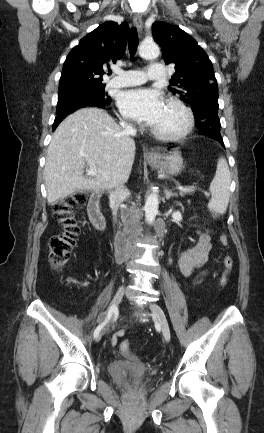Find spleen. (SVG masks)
I'll use <instances>...</instances> for the list:
<instances>
[{
    "mask_svg": "<svg viewBox=\"0 0 264 433\" xmlns=\"http://www.w3.org/2000/svg\"><path fill=\"white\" fill-rule=\"evenodd\" d=\"M231 175L227 161L224 157L218 159L215 176L210 184L212 195L208 208L217 213L224 214L230 198Z\"/></svg>",
    "mask_w": 264,
    "mask_h": 433,
    "instance_id": "spleen-1",
    "label": "spleen"
}]
</instances>
